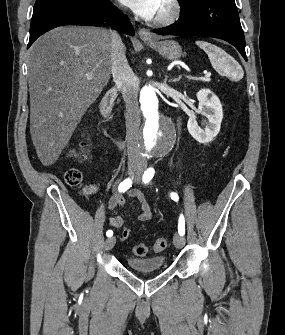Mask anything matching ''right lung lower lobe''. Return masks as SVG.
Masks as SVG:
<instances>
[{
  "label": "right lung lower lobe",
  "instance_id": "1",
  "mask_svg": "<svg viewBox=\"0 0 285 335\" xmlns=\"http://www.w3.org/2000/svg\"><path fill=\"white\" fill-rule=\"evenodd\" d=\"M103 21L111 23L125 34L134 36V29L128 17L118 11L110 0H47L35 4L28 48L39 36L58 26H100Z\"/></svg>",
  "mask_w": 285,
  "mask_h": 335
}]
</instances>
